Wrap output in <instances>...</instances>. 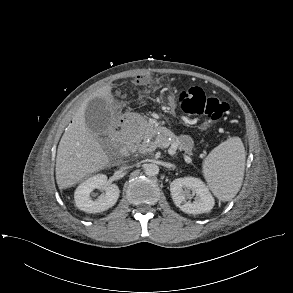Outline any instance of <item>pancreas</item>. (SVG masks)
I'll use <instances>...</instances> for the list:
<instances>
[{
  "label": "pancreas",
  "mask_w": 293,
  "mask_h": 293,
  "mask_svg": "<svg viewBox=\"0 0 293 293\" xmlns=\"http://www.w3.org/2000/svg\"><path fill=\"white\" fill-rule=\"evenodd\" d=\"M157 133H160L157 135ZM168 131L162 128L148 127L139 132L135 142L140 153L154 151L161 144L167 142ZM142 141V143H140ZM174 141L179 143V148L185 151V154L191 155V147H187L180 142L179 137H175Z\"/></svg>",
  "instance_id": "pancreas-1"
}]
</instances>
